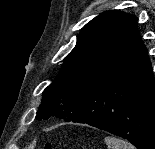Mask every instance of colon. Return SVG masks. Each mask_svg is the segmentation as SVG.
Listing matches in <instances>:
<instances>
[{"label":"colon","mask_w":155,"mask_h":149,"mask_svg":"<svg viewBox=\"0 0 155 149\" xmlns=\"http://www.w3.org/2000/svg\"><path fill=\"white\" fill-rule=\"evenodd\" d=\"M53 145L51 143H45L42 147V149H53Z\"/></svg>","instance_id":"1"}]
</instances>
